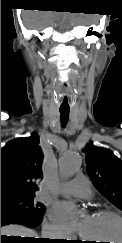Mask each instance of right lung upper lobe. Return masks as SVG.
I'll return each instance as SVG.
<instances>
[{
  "label": "right lung upper lobe",
  "instance_id": "obj_1",
  "mask_svg": "<svg viewBox=\"0 0 122 243\" xmlns=\"http://www.w3.org/2000/svg\"><path fill=\"white\" fill-rule=\"evenodd\" d=\"M39 137L16 138L1 149V197L35 195L42 178Z\"/></svg>",
  "mask_w": 122,
  "mask_h": 243
}]
</instances>
